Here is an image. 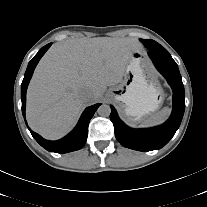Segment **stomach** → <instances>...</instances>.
<instances>
[{
    "label": "stomach",
    "mask_w": 207,
    "mask_h": 207,
    "mask_svg": "<svg viewBox=\"0 0 207 207\" xmlns=\"http://www.w3.org/2000/svg\"><path fill=\"white\" fill-rule=\"evenodd\" d=\"M107 96L121 105L132 122L143 119L160 107L164 92L141 49L133 52L122 81L110 88Z\"/></svg>",
    "instance_id": "stomach-1"
}]
</instances>
